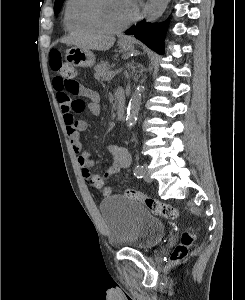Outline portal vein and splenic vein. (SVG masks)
Returning a JSON list of instances; mask_svg holds the SVG:
<instances>
[{"label":"portal vein and splenic vein","mask_w":245,"mask_h":300,"mask_svg":"<svg viewBox=\"0 0 245 300\" xmlns=\"http://www.w3.org/2000/svg\"><path fill=\"white\" fill-rule=\"evenodd\" d=\"M120 69L116 70V71H111L108 75V79H112L114 76H116L117 74L120 73Z\"/></svg>","instance_id":"portal-vein-and-splenic-vein-1"}]
</instances>
